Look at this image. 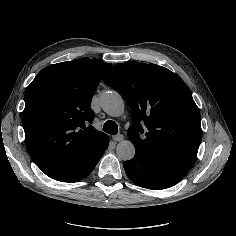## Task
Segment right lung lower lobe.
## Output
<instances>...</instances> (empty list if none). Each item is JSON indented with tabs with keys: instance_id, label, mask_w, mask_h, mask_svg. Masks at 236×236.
Returning a JSON list of instances; mask_svg holds the SVG:
<instances>
[{
	"instance_id": "obj_1",
	"label": "right lung lower lobe",
	"mask_w": 236,
	"mask_h": 236,
	"mask_svg": "<svg viewBox=\"0 0 236 236\" xmlns=\"http://www.w3.org/2000/svg\"><path fill=\"white\" fill-rule=\"evenodd\" d=\"M109 138L106 139L98 148L89 151L82 157L68 172L63 174L58 181L61 182H78L88 176L95 168L101 156L107 149Z\"/></svg>"
}]
</instances>
